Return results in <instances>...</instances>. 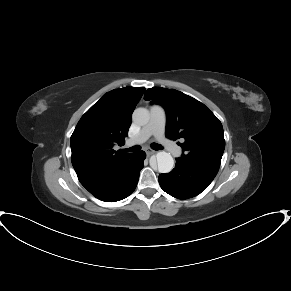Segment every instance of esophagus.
Wrapping results in <instances>:
<instances>
[{
	"label": "esophagus",
	"instance_id": "34e87169",
	"mask_svg": "<svg viewBox=\"0 0 291 291\" xmlns=\"http://www.w3.org/2000/svg\"><path fill=\"white\" fill-rule=\"evenodd\" d=\"M155 152L153 151V150H151V149H146V154H147V156H150V155H152V154H154Z\"/></svg>",
	"mask_w": 291,
	"mask_h": 291
}]
</instances>
